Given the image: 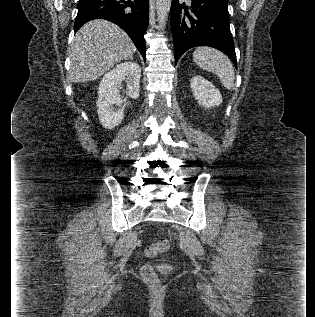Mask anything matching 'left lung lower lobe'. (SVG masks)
I'll return each mask as SVG.
<instances>
[{"label": "left lung lower lobe", "mask_w": 315, "mask_h": 317, "mask_svg": "<svg viewBox=\"0 0 315 317\" xmlns=\"http://www.w3.org/2000/svg\"><path fill=\"white\" fill-rule=\"evenodd\" d=\"M170 20L175 63L192 47L210 46L226 54L237 67L228 0H192L191 6L172 0Z\"/></svg>", "instance_id": "1"}]
</instances>
